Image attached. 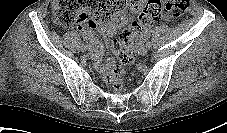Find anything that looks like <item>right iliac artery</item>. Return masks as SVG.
<instances>
[{"instance_id":"82829eb1","label":"right iliac artery","mask_w":227,"mask_h":133,"mask_svg":"<svg viewBox=\"0 0 227 133\" xmlns=\"http://www.w3.org/2000/svg\"><path fill=\"white\" fill-rule=\"evenodd\" d=\"M84 47V43L81 45V49Z\"/></svg>"}]
</instances>
